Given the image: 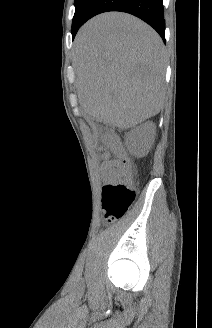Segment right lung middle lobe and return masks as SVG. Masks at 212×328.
Here are the masks:
<instances>
[{
	"instance_id": "dd1d6c3e",
	"label": "right lung middle lobe",
	"mask_w": 212,
	"mask_h": 328,
	"mask_svg": "<svg viewBox=\"0 0 212 328\" xmlns=\"http://www.w3.org/2000/svg\"><path fill=\"white\" fill-rule=\"evenodd\" d=\"M95 0H75V14L72 22V34L83 24L91 5Z\"/></svg>"
}]
</instances>
